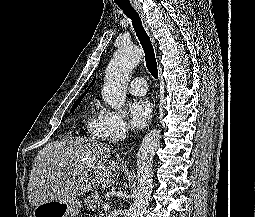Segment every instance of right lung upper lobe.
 Returning a JSON list of instances; mask_svg holds the SVG:
<instances>
[{"instance_id": "obj_1", "label": "right lung upper lobe", "mask_w": 255, "mask_h": 217, "mask_svg": "<svg viewBox=\"0 0 255 217\" xmlns=\"http://www.w3.org/2000/svg\"><path fill=\"white\" fill-rule=\"evenodd\" d=\"M94 82H95V77H94V79H93V81H92V83L90 84V86H89V87H91V86L94 84ZM87 91H88V89H87V90H86V91H85L82 95L86 94V93H87ZM82 95H81V96H82ZM81 96H80V97H81Z\"/></svg>"}]
</instances>
